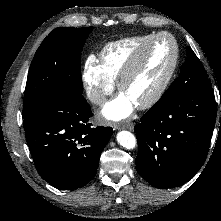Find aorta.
I'll return each instance as SVG.
<instances>
[{
    "instance_id": "aorta-1",
    "label": "aorta",
    "mask_w": 221,
    "mask_h": 221,
    "mask_svg": "<svg viewBox=\"0 0 221 221\" xmlns=\"http://www.w3.org/2000/svg\"><path fill=\"white\" fill-rule=\"evenodd\" d=\"M117 141L126 149H133L136 146L135 136L129 131H120L117 134Z\"/></svg>"
}]
</instances>
